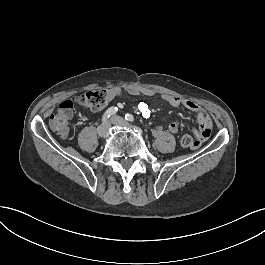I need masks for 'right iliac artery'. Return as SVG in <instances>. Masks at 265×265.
Listing matches in <instances>:
<instances>
[{"instance_id":"1","label":"right iliac artery","mask_w":265,"mask_h":265,"mask_svg":"<svg viewBox=\"0 0 265 265\" xmlns=\"http://www.w3.org/2000/svg\"><path fill=\"white\" fill-rule=\"evenodd\" d=\"M118 111L117 107H110L106 110V112L102 116V123L104 124L112 115H114Z\"/></svg>"}]
</instances>
